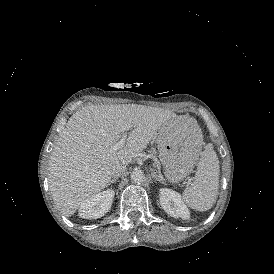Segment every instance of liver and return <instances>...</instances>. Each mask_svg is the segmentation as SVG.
Segmentation results:
<instances>
[{
	"label": "liver",
	"mask_w": 274,
	"mask_h": 274,
	"mask_svg": "<svg viewBox=\"0 0 274 274\" xmlns=\"http://www.w3.org/2000/svg\"><path fill=\"white\" fill-rule=\"evenodd\" d=\"M185 120L170 110L138 104L87 105L74 113L50 158L49 188L57 207L71 216L81 202L107 187L113 170L128 165L159 133ZM131 124L124 147L113 150Z\"/></svg>",
	"instance_id": "liver-1"
}]
</instances>
